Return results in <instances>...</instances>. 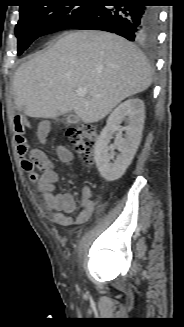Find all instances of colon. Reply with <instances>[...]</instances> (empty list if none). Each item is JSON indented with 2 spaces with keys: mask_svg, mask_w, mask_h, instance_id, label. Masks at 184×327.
<instances>
[{
  "mask_svg": "<svg viewBox=\"0 0 184 327\" xmlns=\"http://www.w3.org/2000/svg\"><path fill=\"white\" fill-rule=\"evenodd\" d=\"M25 124L22 119H15L14 131L17 150L20 155H24L28 150V145L24 137ZM66 136L81 158L90 162L93 157L94 146L98 137L97 129L91 124H80L67 130Z\"/></svg>",
  "mask_w": 184,
  "mask_h": 327,
  "instance_id": "1",
  "label": "colon"
}]
</instances>
